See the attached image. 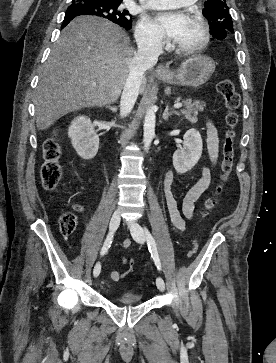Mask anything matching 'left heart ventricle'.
<instances>
[{"label":"left heart ventricle","mask_w":276,"mask_h":363,"mask_svg":"<svg viewBox=\"0 0 276 363\" xmlns=\"http://www.w3.org/2000/svg\"><path fill=\"white\" fill-rule=\"evenodd\" d=\"M201 39L200 26L190 17L186 18L184 29L175 44L180 46H190L199 42Z\"/></svg>","instance_id":"b2bd125f"}]
</instances>
